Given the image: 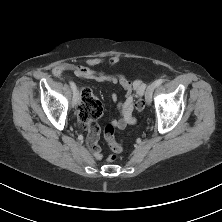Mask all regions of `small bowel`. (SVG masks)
Returning <instances> with one entry per match:
<instances>
[{
    "label": "small bowel",
    "mask_w": 222,
    "mask_h": 222,
    "mask_svg": "<svg viewBox=\"0 0 222 222\" xmlns=\"http://www.w3.org/2000/svg\"><path fill=\"white\" fill-rule=\"evenodd\" d=\"M119 58L113 56L110 58L96 57L87 60L86 65H76L72 63H58L52 68L54 76H60L65 71H73L78 78L92 79L98 82H107L111 84H119L125 91V98L122 102L118 103L120 116L118 119L112 121L111 125L117 129H124L127 125L135 123L136 119L133 115L134 101L136 98L141 97L145 91V83L141 80H129L123 75H111L103 71L96 70L95 67L108 63L115 65L118 63ZM113 101H117L116 94L112 95ZM97 119H91L86 127L88 131L87 143L93 156L100 160L102 153L98 146V139L100 134V127Z\"/></svg>",
    "instance_id": "c3829d8e"
}]
</instances>
